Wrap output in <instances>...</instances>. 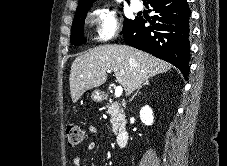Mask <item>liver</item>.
<instances>
[{
    "mask_svg": "<svg viewBox=\"0 0 227 166\" xmlns=\"http://www.w3.org/2000/svg\"><path fill=\"white\" fill-rule=\"evenodd\" d=\"M171 65L146 52L127 45H100L76 57L71 65L69 83L73 103L87 91L101 86L107 80V71H113L117 82L130 95L143 82L166 73Z\"/></svg>",
    "mask_w": 227,
    "mask_h": 166,
    "instance_id": "1",
    "label": "liver"
}]
</instances>
